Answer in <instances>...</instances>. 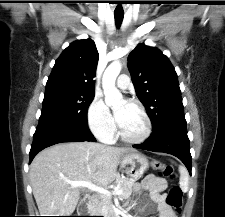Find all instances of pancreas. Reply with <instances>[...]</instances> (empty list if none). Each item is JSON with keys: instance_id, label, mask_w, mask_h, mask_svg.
Returning a JSON list of instances; mask_svg holds the SVG:
<instances>
[{"instance_id": "1", "label": "pancreas", "mask_w": 225, "mask_h": 217, "mask_svg": "<svg viewBox=\"0 0 225 217\" xmlns=\"http://www.w3.org/2000/svg\"><path fill=\"white\" fill-rule=\"evenodd\" d=\"M134 182V179L122 178L120 176L116 178V187L122 190V194L119 195L120 198L127 199L130 197ZM91 209L101 212L105 217H111L113 214L111 198L103 194L97 195L91 204Z\"/></svg>"}]
</instances>
